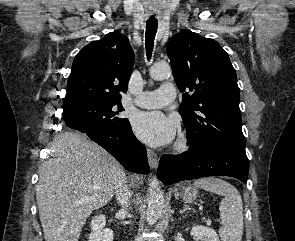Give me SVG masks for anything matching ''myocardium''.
Segmentation results:
<instances>
[{
  "instance_id": "f54148a6",
  "label": "myocardium",
  "mask_w": 295,
  "mask_h": 241,
  "mask_svg": "<svg viewBox=\"0 0 295 241\" xmlns=\"http://www.w3.org/2000/svg\"><path fill=\"white\" fill-rule=\"evenodd\" d=\"M189 149H190V143L185 138L180 139L174 147V150L179 154L185 153Z\"/></svg>"
}]
</instances>
